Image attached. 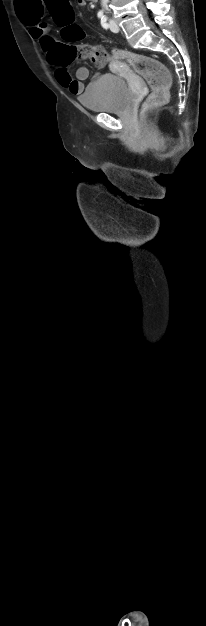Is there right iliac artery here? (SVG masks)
Instances as JSON below:
<instances>
[{"label":"right iliac artery","mask_w":206,"mask_h":626,"mask_svg":"<svg viewBox=\"0 0 206 626\" xmlns=\"http://www.w3.org/2000/svg\"><path fill=\"white\" fill-rule=\"evenodd\" d=\"M97 15H98V17H99V18H103V17H104V15H103V12H102V11H99Z\"/></svg>","instance_id":"1"}]
</instances>
